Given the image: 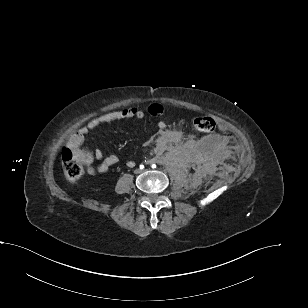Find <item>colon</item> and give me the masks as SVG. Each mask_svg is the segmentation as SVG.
<instances>
[{
  "label": "colon",
  "mask_w": 308,
  "mask_h": 308,
  "mask_svg": "<svg viewBox=\"0 0 308 308\" xmlns=\"http://www.w3.org/2000/svg\"><path fill=\"white\" fill-rule=\"evenodd\" d=\"M193 125L197 131L210 133L214 131L216 123L210 116L199 115L193 119ZM61 162L67 181L74 183L82 177L84 172L83 163L74 156L70 148L66 147L62 150Z\"/></svg>",
  "instance_id": "1"
}]
</instances>
